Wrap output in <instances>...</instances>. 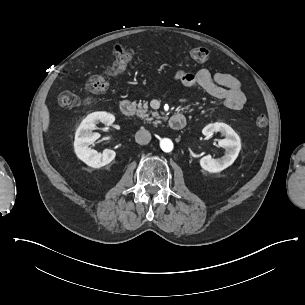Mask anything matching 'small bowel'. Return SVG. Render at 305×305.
I'll return each mask as SVG.
<instances>
[{"label": "small bowel", "mask_w": 305, "mask_h": 305, "mask_svg": "<svg viewBox=\"0 0 305 305\" xmlns=\"http://www.w3.org/2000/svg\"><path fill=\"white\" fill-rule=\"evenodd\" d=\"M172 78L186 87L200 86L214 98L223 101L230 110H240L245 105L246 97L241 83L230 74H211L208 69L202 68L196 72L180 70Z\"/></svg>", "instance_id": "small-bowel-1"}]
</instances>
